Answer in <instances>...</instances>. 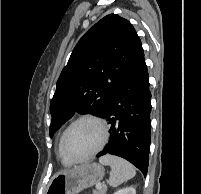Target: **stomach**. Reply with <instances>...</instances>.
Segmentation results:
<instances>
[{"label":"stomach","mask_w":201,"mask_h":194,"mask_svg":"<svg viewBox=\"0 0 201 194\" xmlns=\"http://www.w3.org/2000/svg\"><path fill=\"white\" fill-rule=\"evenodd\" d=\"M103 166L91 163L77 169L58 173L47 188V194H78L100 182L104 177Z\"/></svg>","instance_id":"stomach-1"}]
</instances>
